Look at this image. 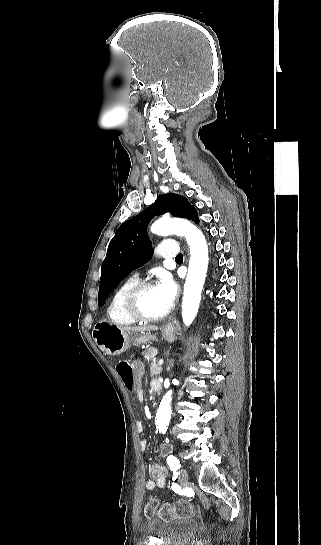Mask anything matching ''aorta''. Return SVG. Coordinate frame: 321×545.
I'll return each instance as SVG.
<instances>
[{
	"instance_id": "1",
	"label": "aorta",
	"mask_w": 321,
	"mask_h": 545,
	"mask_svg": "<svg viewBox=\"0 0 321 545\" xmlns=\"http://www.w3.org/2000/svg\"><path fill=\"white\" fill-rule=\"evenodd\" d=\"M151 231L157 235L177 234L186 238L190 249L188 274L184 285L182 318L186 326L195 319L201 301V292L208 268V246L203 233L192 223L183 219L161 218L153 223ZM172 390L163 397L156 414L160 433L165 434L171 417Z\"/></svg>"
}]
</instances>
